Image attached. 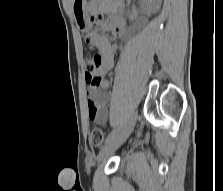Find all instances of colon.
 Here are the masks:
<instances>
[{"mask_svg": "<svg viewBox=\"0 0 223 191\" xmlns=\"http://www.w3.org/2000/svg\"><path fill=\"white\" fill-rule=\"evenodd\" d=\"M84 66L86 82L91 86H99L102 81V77L99 72L100 57L94 56L93 58L87 59L84 63ZM104 138V132L100 128H93L91 130L90 143L93 147H101L104 142Z\"/></svg>", "mask_w": 223, "mask_h": 191, "instance_id": "5ec220e1", "label": "colon"}]
</instances>
